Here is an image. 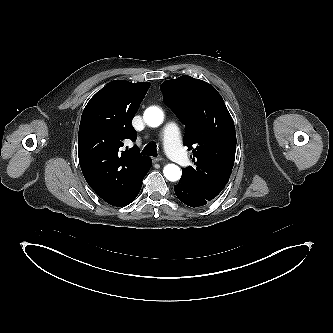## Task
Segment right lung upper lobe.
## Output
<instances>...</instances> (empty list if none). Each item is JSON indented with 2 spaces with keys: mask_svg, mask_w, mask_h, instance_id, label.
<instances>
[{
  "mask_svg": "<svg viewBox=\"0 0 333 333\" xmlns=\"http://www.w3.org/2000/svg\"><path fill=\"white\" fill-rule=\"evenodd\" d=\"M149 87V82L111 81L90 99L82 113L80 167L96 194L113 206L132 201L152 164L136 146L122 150L126 139L136 140L131 122Z\"/></svg>",
  "mask_w": 333,
  "mask_h": 333,
  "instance_id": "cb5924a9",
  "label": "right lung upper lobe"
}]
</instances>
